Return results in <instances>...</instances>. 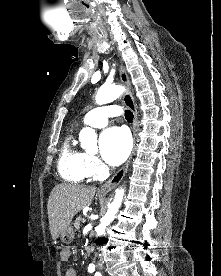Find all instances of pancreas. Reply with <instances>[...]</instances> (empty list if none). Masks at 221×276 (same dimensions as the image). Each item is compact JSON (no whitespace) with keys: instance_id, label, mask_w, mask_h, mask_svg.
Masks as SVG:
<instances>
[{"instance_id":"1","label":"pancreas","mask_w":221,"mask_h":276,"mask_svg":"<svg viewBox=\"0 0 221 276\" xmlns=\"http://www.w3.org/2000/svg\"><path fill=\"white\" fill-rule=\"evenodd\" d=\"M82 220V217L81 216H78L74 222V227L76 230L79 229V226H80V221Z\"/></svg>"}]
</instances>
